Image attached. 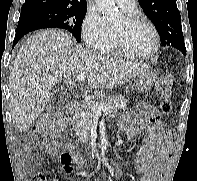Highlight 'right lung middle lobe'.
<instances>
[{
    "instance_id": "obj_1",
    "label": "right lung middle lobe",
    "mask_w": 197,
    "mask_h": 181,
    "mask_svg": "<svg viewBox=\"0 0 197 181\" xmlns=\"http://www.w3.org/2000/svg\"><path fill=\"white\" fill-rule=\"evenodd\" d=\"M86 12L87 8L73 9L38 5L21 10L20 16L37 18L52 25L53 28L68 30L76 41L80 42L81 26Z\"/></svg>"
}]
</instances>
